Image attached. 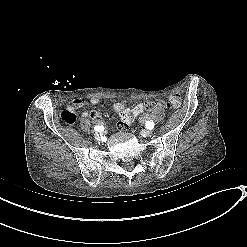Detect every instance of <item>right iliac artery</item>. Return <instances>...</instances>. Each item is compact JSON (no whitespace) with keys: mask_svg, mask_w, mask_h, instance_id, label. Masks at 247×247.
<instances>
[{"mask_svg":"<svg viewBox=\"0 0 247 247\" xmlns=\"http://www.w3.org/2000/svg\"><path fill=\"white\" fill-rule=\"evenodd\" d=\"M94 130H95V131H98V132H101V131L104 130V126H103V125H101V126H95V127H94Z\"/></svg>","mask_w":247,"mask_h":247,"instance_id":"obj_1","label":"right iliac artery"}]
</instances>
